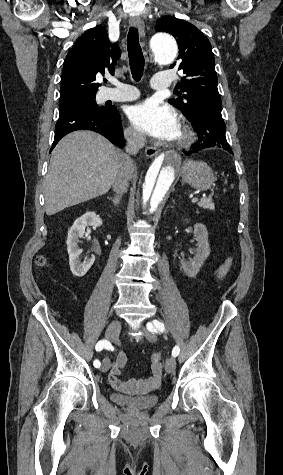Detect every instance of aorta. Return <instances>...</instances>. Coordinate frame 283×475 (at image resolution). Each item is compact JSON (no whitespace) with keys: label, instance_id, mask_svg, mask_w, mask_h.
Wrapping results in <instances>:
<instances>
[{"label":"aorta","instance_id":"1","mask_svg":"<svg viewBox=\"0 0 283 475\" xmlns=\"http://www.w3.org/2000/svg\"><path fill=\"white\" fill-rule=\"evenodd\" d=\"M150 48L162 65L171 64L177 55L176 41L168 34H155L150 40ZM180 166L181 156L172 150L160 154L152 162L142 185L138 218L140 224H149L157 219Z\"/></svg>","mask_w":283,"mask_h":475}]
</instances>
